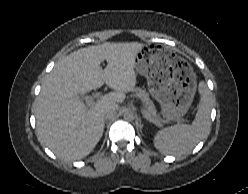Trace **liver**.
Listing matches in <instances>:
<instances>
[{
	"label": "liver",
	"instance_id": "6515ba94",
	"mask_svg": "<svg viewBox=\"0 0 248 194\" xmlns=\"http://www.w3.org/2000/svg\"><path fill=\"white\" fill-rule=\"evenodd\" d=\"M143 46L105 42L76 50L55 65L42 85L35 117L38 138L57 157L80 160L92 152L103 134L105 110L118 109L125 94L135 90V59ZM104 83L115 92L88 109L80 95Z\"/></svg>",
	"mask_w": 248,
	"mask_h": 194
}]
</instances>
